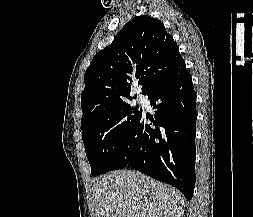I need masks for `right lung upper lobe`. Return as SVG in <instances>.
Segmentation results:
<instances>
[{
  "label": "right lung upper lobe",
  "instance_id": "obj_1",
  "mask_svg": "<svg viewBox=\"0 0 253 217\" xmlns=\"http://www.w3.org/2000/svg\"><path fill=\"white\" fill-rule=\"evenodd\" d=\"M182 60L179 47L161 21L148 15L135 17L108 47L94 56L87 68L81 94V124L131 99L133 80L139 79L138 85H142L145 94Z\"/></svg>",
  "mask_w": 253,
  "mask_h": 217
}]
</instances>
